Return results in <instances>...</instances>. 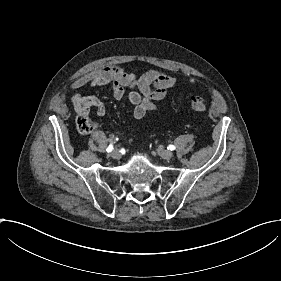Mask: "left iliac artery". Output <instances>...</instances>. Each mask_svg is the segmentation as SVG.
Returning a JSON list of instances; mask_svg holds the SVG:
<instances>
[{
  "label": "left iliac artery",
  "mask_w": 281,
  "mask_h": 281,
  "mask_svg": "<svg viewBox=\"0 0 281 281\" xmlns=\"http://www.w3.org/2000/svg\"><path fill=\"white\" fill-rule=\"evenodd\" d=\"M167 149H168V150H171V151H172V150H175V146H174V145H169V146L167 147Z\"/></svg>",
  "instance_id": "obj_1"
}]
</instances>
